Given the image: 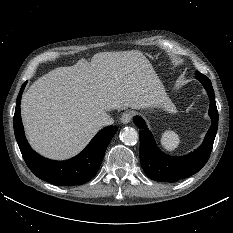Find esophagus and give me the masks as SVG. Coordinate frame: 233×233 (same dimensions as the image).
<instances>
[{
  "instance_id": "esophagus-1",
  "label": "esophagus",
  "mask_w": 233,
  "mask_h": 233,
  "mask_svg": "<svg viewBox=\"0 0 233 233\" xmlns=\"http://www.w3.org/2000/svg\"><path fill=\"white\" fill-rule=\"evenodd\" d=\"M132 119V113L129 111H126L122 114L120 120L123 124H128Z\"/></svg>"
}]
</instances>
